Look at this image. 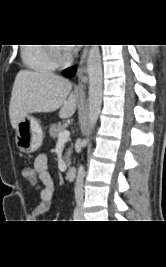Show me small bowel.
<instances>
[{
    "mask_svg": "<svg viewBox=\"0 0 166 267\" xmlns=\"http://www.w3.org/2000/svg\"><path fill=\"white\" fill-rule=\"evenodd\" d=\"M31 169H34L35 177H38V182L31 183L35 185L40 200L38 205L27 217L35 220L50 210L52 197L55 192V183L48 171V157L46 154L38 155Z\"/></svg>",
    "mask_w": 166,
    "mask_h": 267,
    "instance_id": "small-bowel-1",
    "label": "small bowel"
}]
</instances>
